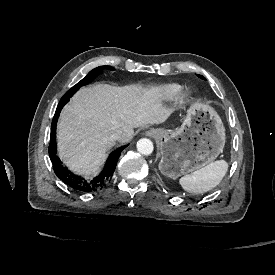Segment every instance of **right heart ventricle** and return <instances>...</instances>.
Wrapping results in <instances>:
<instances>
[{"instance_id":"1","label":"right heart ventricle","mask_w":275,"mask_h":275,"mask_svg":"<svg viewBox=\"0 0 275 275\" xmlns=\"http://www.w3.org/2000/svg\"><path fill=\"white\" fill-rule=\"evenodd\" d=\"M180 87L176 84H167L159 86L156 92L159 97L164 99H173L179 92Z\"/></svg>"}]
</instances>
